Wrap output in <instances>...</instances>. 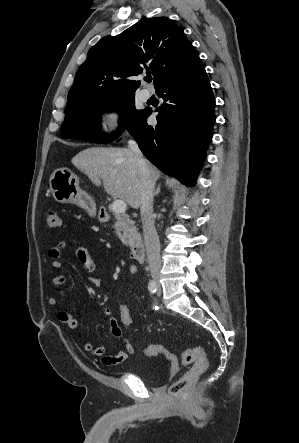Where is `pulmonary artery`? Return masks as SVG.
<instances>
[{"instance_id":"1","label":"pulmonary artery","mask_w":299,"mask_h":443,"mask_svg":"<svg viewBox=\"0 0 299 443\" xmlns=\"http://www.w3.org/2000/svg\"><path fill=\"white\" fill-rule=\"evenodd\" d=\"M150 93H149V91H147V90H143L141 93H140V99L142 100V101H147L149 98H150Z\"/></svg>"}]
</instances>
